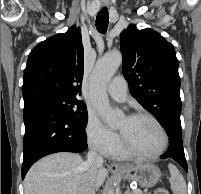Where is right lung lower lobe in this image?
Segmentation results:
<instances>
[{
    "instance_id": "1",
    "label": "right lung lower lobe",
    "mask_w": 201,
    "mask_h": 194,
    "mask_svg": "<svg viewBox=\"0 0 201 194\" xmlns=\"http://www.w3.org/2000/svg\"><path fill=\"white\" fill-rule=\"evenodd\" d=\"M25 135L22 179L33 163L56 152L79 153L87 148L86 133L60 110L49 105L24 103Z\"/></svg>"
}]
</instances>
